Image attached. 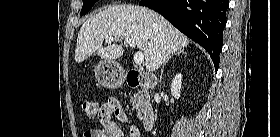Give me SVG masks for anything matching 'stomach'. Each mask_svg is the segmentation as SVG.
<instances>
[{
    "label": "stomach",
    "instance_id": "0dacf381",
    "mask_svg": "<svg viewBox=\"0 0 280 137\" xmlns=\"http://www.w3.org/2000/svg\"><path fill=\"white\" fill-rule=\"evenodd\" d=\"M97 80L106 88H116L123 83V70L114 61L102 60L95 67Z\"/></svg>",
    "mask_w": 280,
    "mask_h": 137
}]
</instances>
